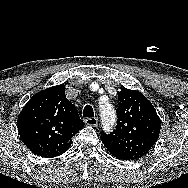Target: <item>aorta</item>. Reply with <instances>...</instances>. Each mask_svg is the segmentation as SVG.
Returning a JSON list of instances; mask_svg holds the SVG:
<instances>
[{"instance_id":"obj_1","label":"aorta","mask_w":188,"mask_h":188,"mask_svg":"<svg viewBox=\"0 0 188 188\" xmlns=\"http://www.w3.org/2000/svg\"><path fill=\"white\" fill-rule=\"evenodd\" d=\"M100 117L103 128L111 131L115 126L116 112L112 104L104 103L100 106Z\"/></svg>"}]
</instances>
